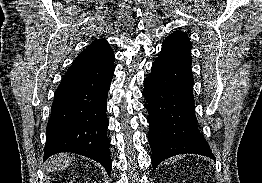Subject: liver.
Wrapping results in <instances>:
<instances>
[{
    "label": "liver",
    "instance_id": "1",
    "mask_svg": "<svg viewBox=\"0 0 262 183\" xmlns=\"http://www.w3.org/2000/svg\"><path fill=\"white\" fill-rule=\"evenodd\" d=\"M71 158L68 154H58L48 159L45 169L48 172L59 171L70 165Z\"/></svg>",
    "mask_w": 262,
    "mask_h": 183
}]
</instances>
